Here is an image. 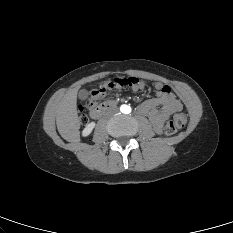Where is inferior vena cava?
Wrapping results in <instances>:
<instances>
[{
    "label": "inferior vena cava",
    "instance_id": "obj_1",
    "mask_svg": "<svg viewBox=\"0 0 233 233\" xmlns=\"http://www.w3.org/2000/svg\"><path fill=\"white\" fill-rule=\"evenodd\" d=\"M115 112H117V109H112L111 110V113H115Z\"/></svg>",
    "mask_w": 233,
    "mask_h": 233
}]
</instances>
